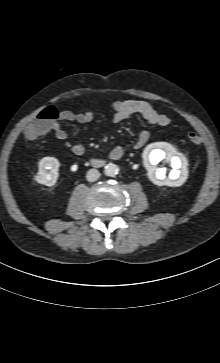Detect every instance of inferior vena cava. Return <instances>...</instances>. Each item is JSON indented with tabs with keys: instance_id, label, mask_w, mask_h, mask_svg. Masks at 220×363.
<instances>
[{
	"instance_id": "inferior-vena-cava-1",
	"label": "inferior vena cava",
	"mask_w": 220,
	"mask_h": 363,
	"mask_svg": "<svg viewBox=\"0 0 220 363\" xmlns=\"http://www.w3.org/2000/svg\"><path fill=\"white\" fill-rule=\"evenodd\" d=\"M100 177V173L97 169H90L87 172L86 178L89 182H94Z\"/></svg>"
}]
</instances>
